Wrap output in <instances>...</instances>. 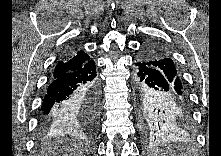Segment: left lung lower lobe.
<instances>
[{
    "mask_svg": "<svg viewBox=\"0 0 221 156\" xmlns=\"http://www.w3.org/2000/svg\"><path fill=\"white\" fill-rule=\"evenodd\" d=\"M137 86L141 136L151 142L188 130L192 124L190 104L181 98L173 73L139 58Z\"/></svg>",
    "mask_w": 221,
    "mask_h": 156,
    "instance_id": "1",
    "label": "left lung lower lobe"
}]
</instances>
